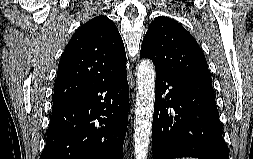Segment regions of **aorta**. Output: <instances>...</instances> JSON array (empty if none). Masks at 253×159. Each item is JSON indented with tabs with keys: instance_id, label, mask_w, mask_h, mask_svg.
Returning <instances> with one entry per match:
<instances>
[{
	"instance_id": "obj_1",
	"label": "aorta",
	"mask_w": 253,
	"mask_h": 159,
	"mask_svg": "<svg viewBox=\"0 0 253 159\" xmlns=\"http://www.w3.org/2000/svg\"><path fill=\"white\" fill-rule=\"evenodd\" d=\"M137 86L134 153L136 159H146L150 144L155 100V69L149 59L142 60L138 66Z\"/></svg>"
}]
</instances>
